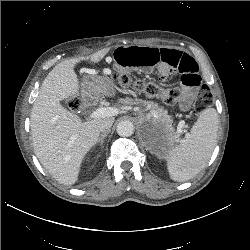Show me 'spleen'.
I'll return each mask as SVG.
<instances>
[{
  "instance_id": "spleen-1",
  "label": "spleen",
  "mask_w": 250,
  "mask_h": 250,
  "mask_svg": "<svg viewBox=\"0 0 250 250\" xmlns=\"http://www.w3.org/2000/svg\"><path fill=\"white\" fill-rule=\"evenodd\" d=\"M219 119L214 108L201 112L187 139L165 154L172 180L185 182L208 163L217 142Z\"/></svg>"
}]
</instances>
